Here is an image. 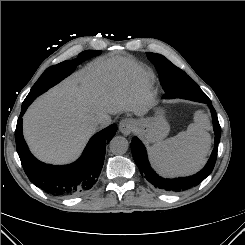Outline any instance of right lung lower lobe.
I'll return each mask as SVG.
<instances>
[{
	"instance_id": "1",
	"label": "right lung lower lobe",
	"mask_w": 245,
	"mask_h": 245,
	"mask_svg": "<svg viewBox=\"0 0 245 245\" xmlns=\"http://www.w3.org/2000/svg\"><path fill=\"white\" fill-rule=\"evenodd\" d=\"M30 104L29 101L23 102L15 130L17 152L30 181L53 196H75L89 190L97 181L106 145L115 135L117 126L113 124L96 133L75 163L65 166L45 164L30 153L23 138L22 116Z\"/></svg>"
}]
</instances>
